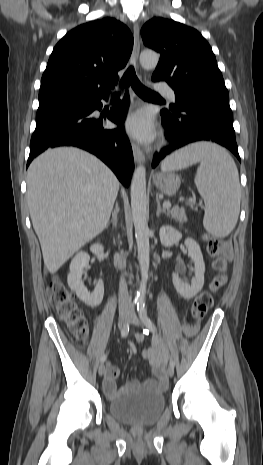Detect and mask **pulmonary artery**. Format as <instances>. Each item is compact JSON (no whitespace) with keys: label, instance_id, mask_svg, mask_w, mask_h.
I'll use <instances>...</instances> for the list:
<instances>
[{"label":"pulmonary artery","instance_id":"1","mask_svg":"<svg viewBox=\"0 0 263 465\" xmlns=\"http://www.w3.org/2000/svg\"><path fill=\"white\" fill-rule=\"evenodd\" d=\"M157 90L165 94V96L169 100L175 101L176 95H175L174 90L171 87L166 86V85H159L157 86Z\"/></svg>","mask_w":263,"mask_h":465}]
</instances>
